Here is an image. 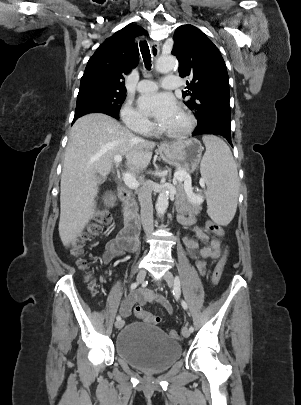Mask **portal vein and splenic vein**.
Instances as JSON below:
<instances>
[{
	"label": "portal vein and splenic vein",
	"mask_w": 301,
	"mask_h": 405,
	"mask_svg": "<svg viewBox=\"0 0 301 405\" xmlns=\"http://www.w3.org/2000/svg\"><path fill=\"white\" fill-rule=\"evenodd\" d=\"M122 161V156L121 155H115L114 156V162L115 163H120ZM122 179L124 181V183L130 188V189H137L139 186V182L136 180L135 176H133L132 174L125 172L123 173ZM177 181H185V182H191V177L188 173L184 172V171H177L174 173V183H176ZM201 183H203V181L201 180ZM186 194L188 195V197L194 201V202H198L201 203L203 201V198L199 195H196L193 193L192 188L186 189Z\"/></svg>",
	"instance_id": "18ae733b"
}]
</instances>
